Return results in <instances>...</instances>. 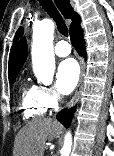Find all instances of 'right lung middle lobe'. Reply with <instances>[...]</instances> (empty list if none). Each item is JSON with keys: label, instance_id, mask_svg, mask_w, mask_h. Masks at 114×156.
<instances>
[{"label": "right lung middle lobe", "instance_id": "right-lung-middle-lobe-1", "mask_svg": "<svg viewBox=\"0 0 114 156\" xmlns=\"http://www.w3.org/2000/svg\"><path fill=\"white\" fill-rule=\"evenodd\" d=\"M16 76L9 77L10 85H12L15 82Z\"/></svg>", "mask_w": 114, "mask_h": 156}]
</instances>
